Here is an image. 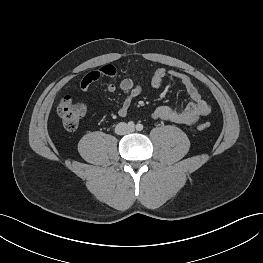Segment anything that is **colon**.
<instances>
[{
	"mask_svg": "<svg viewBox=\"0 0 263 263\" xmlns=\"http://www.w3.org/2000/svg\"><path fill=\"white\" fill-rule=\"evenodd\" d=\"M86 111L85 104L73 100L70 96H65L58 104L57 112L62 124L67 130H75ZM210 127L209 123L199 125L200 130Z\"/></svg>",
	"mask_w": 263,
	"mask_h": 263,
	"instance_id": "colon-1",
	"label": "colon"
}]
</instances>
